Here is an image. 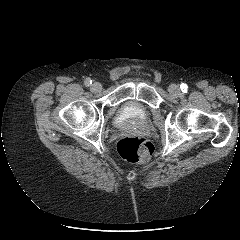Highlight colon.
I'll return each instance as SVG.
<instances>
[{
  "mask_svg": "<svg viewBox=\"0 0 240 240\" xmlns=\"http://www.w3.org/2000/svg\"><path fill=\"white\" fill-rule=\"evenodd\" d=\"M117 150L129 162H146L152 157L154 146L145 138L126 136L118 140Z\"/></svg>",
  "mask_w": 240,
  "mask_h": 240,
  "instance_id": "colon-1",
  "label": "colon"
}]
</instances>
